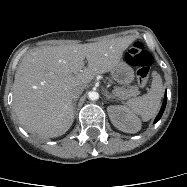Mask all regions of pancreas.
<instances>
[{
  "instance_id": "obj_1",
  "label": "pancreas",
  "mask_w": 187,
  "mask_h": 187,
  "mask_svg": "<svg viewBox=\"0 0 187 187\" xmlns=\"http://www.w3.org/2000/svg\"><path fill=\"white\" fill-rule=\"evenodd\" d=\"M115 94L121 98V99H128L131 96H136L139 94V89L138 87L134 86V87H130L129 89H125V88H121V87H117L115 89Z\"/></svg>"
}]
</instances>
